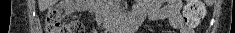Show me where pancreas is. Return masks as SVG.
<instances>
[{
    "label": "pancreas",
    "instance_id": "1",
    "mask_svg": "<svg viewBox=\"0 0 235 33\" xmlns=\"http://www.w3.org/2000/svg\"><path fill=\"white\" fill-rule=\"evenodd\" d=\"M106 2H107V0H101V3H104V4H105Z\"/></svg>",
    "mask_w": 235,
    "mask_h": 33
}]
</instances>
